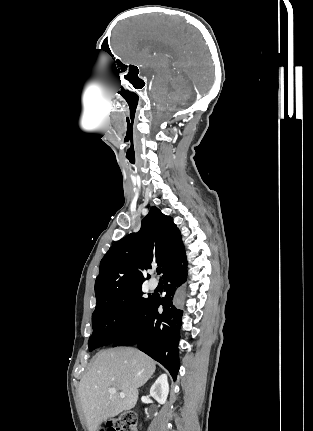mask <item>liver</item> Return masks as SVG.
Masks as SVG:
<instances>
[{
  "mask_svg": "<svg viewBox=\"0 0 313 431\" xmlns=\"http://www.w3.org/2000/svg\"><path fill=\"white\" fill-rule=\"evenodd\" d=\"M155 362L133 348H112L100 351L79 383V398L89 431L109 418L135 407L138 388L155 372ZM109 388L116 393L110 394ZM120 392L125 397H120Z\"/></svg>",
  "mask_w": 313,
  "mask_h": 431,
  "instance_id": "liver-1",
  "label": "liver"
}]
</instances>
